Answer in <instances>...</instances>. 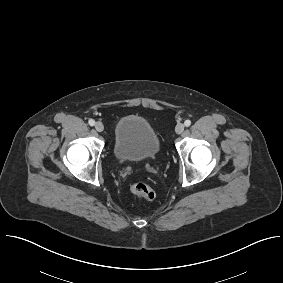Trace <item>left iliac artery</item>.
<instances>
[{
	"instance_id": "obj_1",
	"label": "left iliac artery",
	"mask_w": 283,
	"mask_h": 283,
	"mask_svg": "<svg viewBox=\"0 0 283 283\" xmlns=\"http://www.w3.org/2000/svg\"><path fill=\"white\" fill-rule=\"evenodd\" d=\"M184 125H185L186 127H189V126L191 125V121H190V120H186V121L184 122Z\"/></svg>"
}]
</instances>
